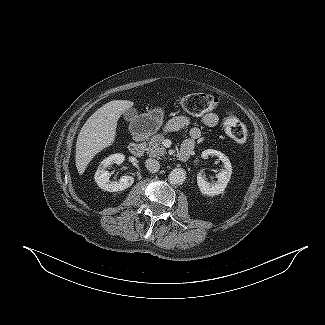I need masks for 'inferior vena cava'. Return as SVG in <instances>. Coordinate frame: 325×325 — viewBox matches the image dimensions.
I'll use <instances>...</instances> for the list:
<instances>
[{
  "label": "inferior vena cava",
  "instance_id": "inferior-vena-cava-1",
  "mask_svg": "<svg viewBox=\"0 0 325 325\" xmlns=\"http://www.w3.org/2000/svg\"><path fill=\"white\" fill-rule=\"evenodd\" d=\"M148 171L155 173L160 169V164L156 159L149 158L145 162Z\"/></svg>",
  "mask_w": 325,
  "mask_h": 325
}]
</instances>
